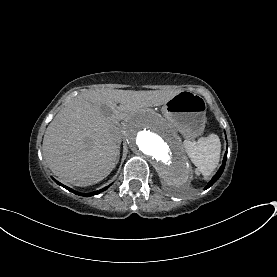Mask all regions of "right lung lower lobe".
<instances>
[{"instance_id":"right-lung-lower-lobe-1","label":"right lung lower lobe","mask_w":277,"mask_h":277,"mask_svg":"<svg viewBox=\"0 0 277 277\" xmlns=\"http://www.w3.org/2000/svg\"><path fill=\"white\" fill-rule=\"evenodd\" d=\"M55 181H56V180H55ZM56 183L59 184V185H61V186H63V187L66 188L67 190H69V191H71V192H73V193H75V194H77V195H82V196H93V195L99 194L100 192H102V191H104L105 189L108 188V187H105V188H103V189H101V190H99V191H94V192L86 193V194H85V193L76 192V191L72 190L71 188L62 185V184H61L60 182H58V181H56Z\"/></svg>"}]
</instances>
